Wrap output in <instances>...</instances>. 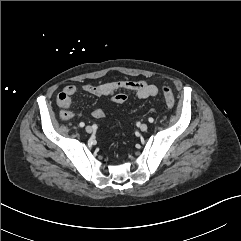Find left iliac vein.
<instances>
[{
  "label": "left iliac vein",
  "instance_id": "4c4485c4",
  "mask_svg": "<svg viewBox=\"0 0 241 241\" xmlns=\"http://www.w3.org/2000/svg\"><path fill=\"white\" fill-rule=\"evenodd\" d=\"M139 128H140L141 131L145 132L148 129V125L147 124H141Z\"/></svg>",
  "mask_w": 241,
  "mask_h": 241
}]
</instances>
